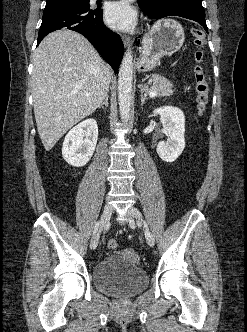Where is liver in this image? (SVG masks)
<instances>
[{"mask_svg":"<svg viewBox=\"0 0 247 332\" xmlns=\"http://www.w3.org/2000/svg\"><path fill=\"white\" fill-rule=\"evenodd\" d=\"M110 79L109 68L79 33L57 30L43 39L34 52L31 83L35 120L46 151L100 106Z\"/></svg>","mask_w":247,"mask_h":332,"instance_id":"6515ba94","label":"liver"}]
</instances>
